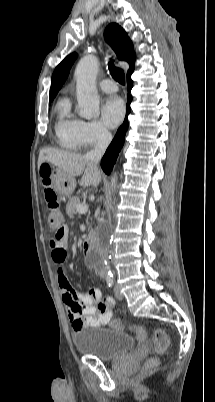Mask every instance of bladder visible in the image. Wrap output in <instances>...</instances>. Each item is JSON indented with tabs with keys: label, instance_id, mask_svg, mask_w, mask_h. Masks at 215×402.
<instances>
[{
	"label": "bladder",
	"instance_id": "bladder-1",
	"mask_svg": "<svg viewBox=\"0 0 215 402\" xmlns=\"http://www.w3.org/2000/svg\"><path fill=\"white\" fill-rule=\"evenodd\" d=\"M72 341L79 353L101 361H111L128 353L134 347L133 338L115 328L94 327L72 333Z\"/></svg>",
	"mask_w": 215,
	"mask_h": 402
}]
</instances>
